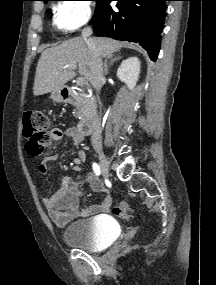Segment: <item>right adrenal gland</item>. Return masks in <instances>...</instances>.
<instances>
[{
	"label": "right adrenal gland",
	"mask_w": 216,
	"mask_h": 285,
	"mask_svg": "<svg viewBox=\"0 0 216 285\" xmlns=\"http://www.w3.org/2000/svg\"><path fill=\"white\" fill-rule=\"evenodd\" d=\"M120 58H121L120 55H118V56L109 55L105 58V60H104V73H105V75L108 74L109 64L114 63L115 61L119 60ZM108 60H109V63H108Z\"/></svg>",
	"instance_id": "1"
}]
</instances>
